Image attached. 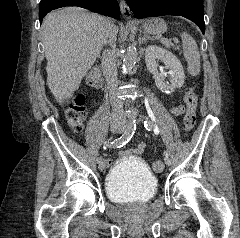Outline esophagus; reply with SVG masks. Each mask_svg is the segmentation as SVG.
<instances>
[{
  "instance_id": "obj_1",
  "label": "esophagus",
  "mask_w": 240,
  "mask_h": 238,
  "mask_svg": "<svg viewBox=\"0 0 240 238\" xmlns=\"http://www.w3.org/2000/svg\"><path fill=\"white\" fill-rule=\"evenodd\" d=\"M120 10L121 14L125 19H131L132 18V11L127 5L125 0L120 1Z\"/></svg>"
}]
</instances>
